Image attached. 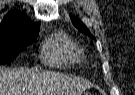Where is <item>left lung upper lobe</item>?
<instances>
[{"instance_id":"1","label":"left lung upper lobe","mask_w":135,"mask_h":95,"mask_svg":"<svg viewBox=\"0 0 135 95\" xmlns=\"http://www.w3.org/2000/svg\"><path fill=\"white\" fill-rule=\"evenodd\" d=\"M73 24L76 26V28H78L79 31H81L82 33L90 36L91 38H95L90 31L87 29L86 26H84V24L82 22H80L78 19H73L72 20Z\"/></svg>"}]
</instances>
